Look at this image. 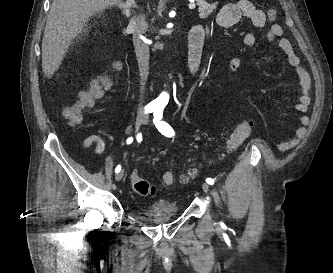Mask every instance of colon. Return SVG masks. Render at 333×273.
<instances>
[{
    "label": "colon",
    "instance_id": "obj_1",
    "mask_svg": "<svg viewBox=\"0 0 333 273\" xmlns=\"http://www.w3.org/2000/svg\"><path fill=\"white\" fill-rule=\"evenodd\" d=\"M267 18L269 21H274L277 16L275 9L270 8L267 10ZM111 86V79L109 76H103L92 82L90 87L81 92L78 100L71 106L65 109V117L70 125H77L82 119V111L85 108L92 107L96 100L103 96L105 90ZM253 120H245L239 123L233 132L230 134L225 143V153L231 154L235 152L243 142L248 138L253 128ZM194 175L191 173L182 177L183 182H188ZM163 183L165 185H172L175 181L174 174L172 172H166L163 175ZM131 185L134 191L140 195L147 196L155 193V187H153L147 180L142 178L136 171H133L130 175Z\"/></svg>",
    "mask_w": 333,
    "mask_h": 273
}]
</instances>
